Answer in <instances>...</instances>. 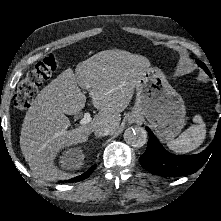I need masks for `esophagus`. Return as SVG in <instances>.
Wrapping results in <instances>:
<instances>
[{
  "label": "esophagus",
  "mask_w": 221,
  "mask_h": 221,
  "mask_svg": "<svg viewBox=\"0 0 221 221\" xmlns=\"http://www.w3.org/2000/svg\"><path fill=\"white\" fill-rule=\"evenodd\" d=\"M135 121H136L135 118H130V119H129V122H130V123H134Z\"/></svg>",
  "instance_id": "obj_1"
}]
</instances>
